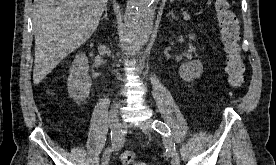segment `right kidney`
Masks as SVG:
<instances>
[{
	"mask_svg": "<svg viewBox=\"0 0 276 165\" xmlns=\"http://www.w3.org/2000/svg\"><path fill=\"white\" fill-rule=\"evenodd\" d=\"M89 64L85 54L76 55L68 76V93L77 103L86 100L90 94L91 78L88 74Z\"/></svg>",
	"mask_w": 276,
	"mask_h": 165,
	"instance_id": "right-kidney-1",
	"label": "right kidney"
}]
</instances>
